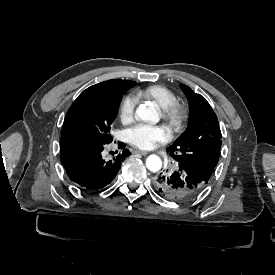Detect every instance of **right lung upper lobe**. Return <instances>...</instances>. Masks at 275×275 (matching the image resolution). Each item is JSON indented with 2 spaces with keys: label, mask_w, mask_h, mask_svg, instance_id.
I'll return each instance as SVG.
<instances>
[{
  "label": "right lung upper lobe",
  "mask_w": 275,
  "mask_h": 275,
  "mask_svg": "<svg viewBox=\"0 0 275 275\" xmlns=\"http://www.w3.org/2000/svg\"><path fill=\"white\" fill-rule=\"evenodd\" d=\"M136 84L134 81L130 80H108L96 85L90 86L86 90H84L77 99L103 95V94H112V93H120L125 92L129 88L133 87Z\"/></svg>",
  "instance_id": "obj_1"
}]
</instances>
